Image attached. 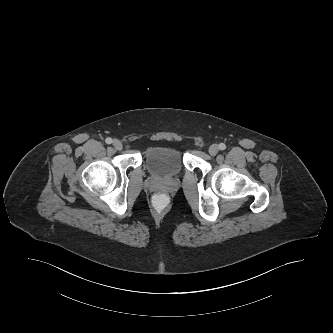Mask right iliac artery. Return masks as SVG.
<instances>
[{
  "instance_id": "82829eb1",
  "label": "right iliac artery",
  "mask_w": 333,
  "mask_h": 333,
  "mask_svg": "<svg viewBox=\"0 0 333 333\" xmlns=\"http://www.w3.org/2000/svg\"><path fill=\"white\" fill-rule=\"evenodd\" d=\"M105 142L107 144H111L112 143V139L110 137H108V138L105 139Z\"/></svg>"
}]
</instances>
